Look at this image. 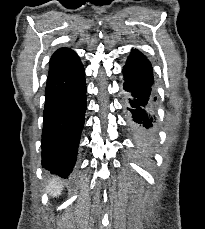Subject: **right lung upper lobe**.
Masks as SVG:
<instances>
[{
	"mask_svg": "<svg viewBox=\"0 0 205 229\" xmlns=\"http://www.w3.org/2000/svg\"><path fill=\"white\" fill-rule=\"evenodd\" d=\"M61 54L66 55L70 58V62H75L79 60L77 54L69 48H61L58 50Z\"/></svg>",
	"mask_w": 205,
	"mask_h": 229,
	"instance_id": "right-lung-upper-lobe-1",
	"label": "right lung upper lobe"
}]
</instances>
